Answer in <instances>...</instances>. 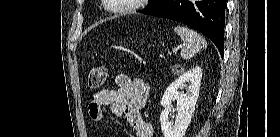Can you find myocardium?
<instances>
[{
  "instance_id": "1",
  "label": "myocardium",
  "mask_w": 280,
  "mask_h": 137,
  "mask_svg": "<svg viewBox=\"0 0 280 137\" xmlns=\"http://www.w3.org/2000/svg\"><path fill=\"white\" fill-rule=\"evenodd\" d=\"M140 2H143V0H131V2L128 5L119 9H113L108 4H104V6L112 13H126L137 9Z\"/></svg>"
}]
</instances>
